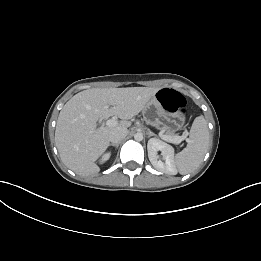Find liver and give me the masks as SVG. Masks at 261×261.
I'll return each instance as SVG.
<instances>
[{
	"mask_svg": "<svg viewBox=\"0 0 261 261\" xmlns=\"http://www.w3.org/2000/svg\"><path fill=\"white\" fill-rule=\"evenodd\" d=\"M158 91L151 87L93 88L74 95L60 111L55 130L62 162L79 175L97 174L100 168L95 161L108 148L110 132L131 126L128 120L138 115ZM110 116L122 121L97 128L99 119Z\"/></svg>",
	"mask_w": 261,
	"mask_h": 261,
	"instance_id": "6515ba94",
	"label": "liver"
}]
</instances>
